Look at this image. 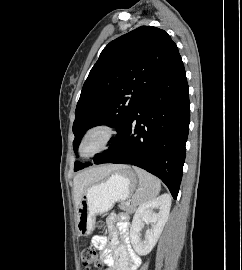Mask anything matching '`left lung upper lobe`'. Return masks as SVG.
<instances>
[{"mask_svg": "<svg viewBox=\"0 0 242 270\" xmlns=\"http://www.w3.org/2000/svg\"><path fill=\"white\" fill-rule=\"evenodd\" d=\"M179 56L171 37L153 26H141L111 41L91 69L77 103L73 123L75 151L84 133L98 124L114 127L119 134L150 86ZM88 165L75 162L74 171Z\"/></svg>", "mask_w": 242, "mask_h": 270, "instance_id": "obj_1", "label": "left lung upper lobe"}]
</instances>
